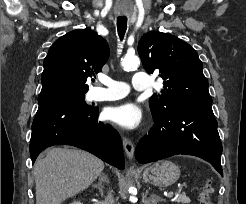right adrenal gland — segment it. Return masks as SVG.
I'll use <instances>...</instances> for the list:
<instances>
[{
	"instance_id": "right-adrenal-gland-1",
	"label": "right adrenal gland",
	"mask_w": 246,
	"mask_h": 204,
	"mask_svg": "<svg viewBox=\"0 0 246 204\" xmlns=\"http://www.w3.org/2000/svg\"><path fill=\"white\" fill-rule=\"evenodd\" d=\"M104 183H109V180L107 178V175H105L104 173H101L99 175L98 183L93 184V187L98 189L101 197L104 196V189H103Z\"/></svg>"
}]
</instances>
